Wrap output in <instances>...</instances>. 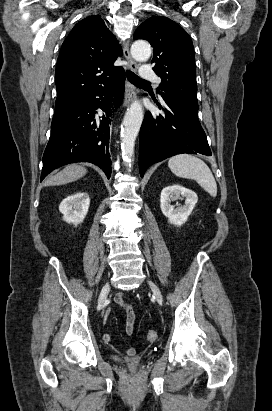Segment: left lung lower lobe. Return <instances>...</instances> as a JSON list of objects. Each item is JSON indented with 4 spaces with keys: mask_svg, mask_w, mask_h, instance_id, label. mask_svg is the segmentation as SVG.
Segmentation results:
<instances>
[{
    "mask_svg": "<svg viewBox=\"0 0 272 411\" xmlns=\"http://www.w3.org/2000/svg\"><path fill=\"white\" fill-rule=\"evenodd\" d=\"M156 101V100H155ZM163 115L146 112L140 129L139 171L157 162L181 153L211 155L206 134L194 109L170 98L156 101Z\"/></svg>",
    "mask_w": 272,
    "mask_h": 411,
    "instance_id": "1",
    "label": "left lung lower lobe"
}]
</instances>
